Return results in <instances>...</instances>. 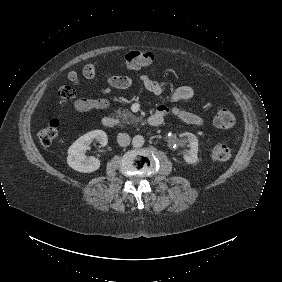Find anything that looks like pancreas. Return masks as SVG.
I'll list each match as a JSON object with an SVG mask.
<instances>
[{"label": "pancreas", "mask_w": 282, "mask_h": 282, "mask_svg": "<svg viewBox=\"0 0 282 282\" xmlns=\"http://www.w3.org/2000/svg\"><path fill=\"white\" fill-rule=\"evenodd\" d=\"M116 113H117V118H119L122 123H126V124L134 123L135 125H137L143 121L142 117L141 118L136 117L133 113H131L128 110L125 111L117 110Z\"/></svg>", "instance_id": "cf45deb5"}]
</instances>
